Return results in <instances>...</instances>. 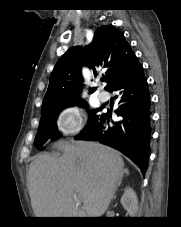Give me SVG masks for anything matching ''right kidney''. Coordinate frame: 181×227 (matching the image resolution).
<instances>
[{"label": "right kidney", "mask_w": 181, "mask_h": 227, "mask_svg": "<svg viewBox=\"0 0 181 227\" xmlns=\"http://www.w3.org/2000/svg\"><path fill=\"white\" fill-rule=\"evenodd\" d=\"M121 204L130 217H135L138 210V199L136 193L131 187H127L124 190V194L121 197Z\"/></svg>", "instance_id": "right-kidney-1"}]
</instances>
